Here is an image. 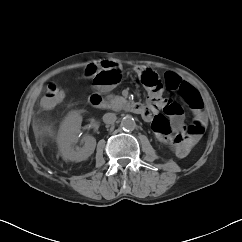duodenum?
<instances>
[{"label": "duodenum", "mask_w": 242, "mask_h": 242, "mask_svg": "<svg viewBox=\"0 0 242 242\" xmlns=\"http://www.w3.org/2000/svg\"><path fill=\"white\" fill-rule=\"evenodd\" d=\"M90 104L99 109H105L108 106V102L101 92H94L89 96ZM126 109L132 113L143 115L145 113V106L140 103H128Z\"/></svg>", "instance_id": "obj_1"}]
</instances>
